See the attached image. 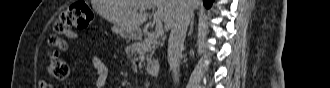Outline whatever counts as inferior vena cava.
Masks as SVG:
<instances>
[{"instance_id": "1", "label": "inferior vena cava", "mask_w": 330, "mask_h": 88, "mask_svg": "<svg viewBox=\"0 0 330 88\" xmlns=\"http://www.w3.org/2000/svg\"><path fill=\"white\" fill-rule=\"evenodd\" d=\"M182 3L183 5L172 24L168 41V60L175 83L179 81L180 61L182 58L184 40L190 19L193 16V8L188 0H182Z\"/></svg>"}]
</instances>
